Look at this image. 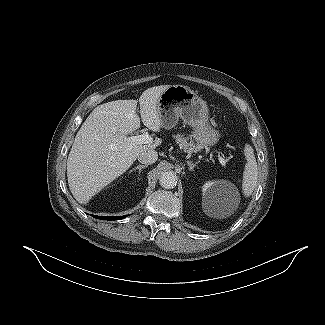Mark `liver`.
Returning a JSON list of instances; mask_svg holds the SVG:
<instances>
[{"mask_svg":"<svg viewBox=\"0 0 325 325\" xmlns=\"http://www.w3.org/2000/svg\"><path fill=\"white\" fill-rule=\"evenodd\" d=\"M170 85L148 88L140 98L143 124L159 132L157 107L160 95ZM137 100H116L97 106L79 129L67 160L68 185L74 198L86 204L101 189L126 172L141 151L161 144H131L128 135L140 128Z\"/></svg>","mask_w":325,"mask_h":325,"instance_id":"6515ba94","label":"liver"}]
</instances>
